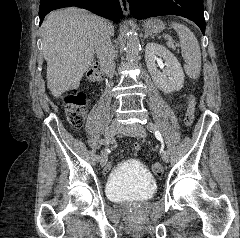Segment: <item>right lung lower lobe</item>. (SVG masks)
Returning a JSON list of instances; mask_svg holds the SVG:
<instances>
[{
  "label": "right lung lower lobe",
  "mask_w": 240,
  "mask_h": 238,
  "mask_svg": "<svg viewBox=\"0 0 240 238\" xmlns=\"http://www.w3.org/2000/svg\"><path fill=\"white\" fill-rule=\"evenodd\" d=\"M70 6L90 10L114 22H118L123 15L119 0H43L39 9L40 24L50 11Z\"/></svg>",
  "instance_id": "1"
}]
</instances>
